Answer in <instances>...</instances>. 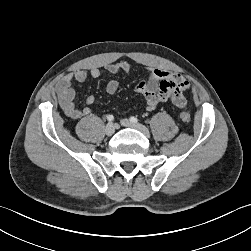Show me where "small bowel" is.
Here are the masks:
<instances>
[{
	"label": "small bowel",
	"mask_w": 251,
	"mask_h": 251,
	"mask_svg": "<svg viewBox=\"0 0 251 251\" xmlns=\"http://www.w3.org/2000/svg\"><path fill=\"white\" fill-rule=\"evenodd\" d=\"M106 70L111 74L120 72L130 73L131 66L126 61H119L108 64ZM102 72L99 68L93 67L90 70H77L61 78L56 86L59 104L65 115L77 120L92 113V106L95 102L93 96L86 98L85 106L78 107L75 103L76 92L73 82H85L89 77L99 78ZM119 88V82L111 79L106 83L105 90L108 94H114ZM189 88V83L179 73L158 68H147V77L138 83L136 91L146 101V108L154 110L159 104L172 102L177 108L183 109L186 106V99L183 93Z\"/></svg>",
	"instance_id": "1"
}]
</instances>
